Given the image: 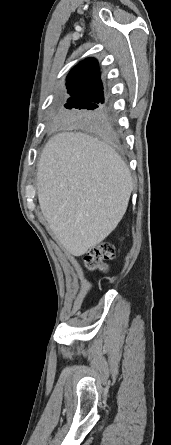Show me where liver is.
Segmentation results:
<instances>
[{
	"instance_id": "1",
	"label": "liver",
	"mask_w": 171,
	"mask_h": 445,
	"mask_svg": "<svg viewBox=\"0 0 171 445\" xmlns=\"http://www.w3.org/2000/svg\"><path fill=\"white\" fill-rule=\"evenodd\" d=\"M133 181L108 144L81 132L47 142L37 168L41 212L56 240L80 256L100 244L124 216Z\"/></svg>"
}]
</instances>
